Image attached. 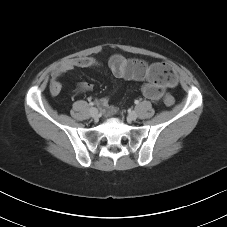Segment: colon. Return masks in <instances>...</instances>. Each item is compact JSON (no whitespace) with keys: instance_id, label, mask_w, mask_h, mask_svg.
<instances>
[{"instance_id":"1","label":"colon","mask_w":227,"mask_h":227,"mask_svg":"<svg viewBox=\"0 0 227 227\" xmlns=\"http://www.w3.org/2000/svg\"><path fill=\"white\" fill-rule=\"evenodd\" d=\"M151 65L158 73L161 80L173 85L176 83V74L171 66L166 63H153ZM164 103L167 106H172L175 103V99L172 95L166 94L164 96Z\"/></svg>"}]
</instances>
